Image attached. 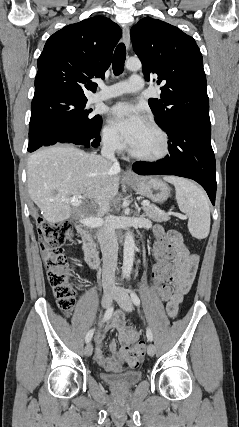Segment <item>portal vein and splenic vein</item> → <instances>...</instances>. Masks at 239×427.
Wrapping results in <instances>:
<instances>
[{
    "label": "portal vein and splenic vein",
    "instance_id": "18ae733b",
    "mask_svg": "<svg viewBox=\"0 0 239 427\" xmlns=\"http://www.w3.org/2000/svg\"><path fill=\"white\" fill-rule=\"evenodd\" d=\"M81 198H82L81 196L78 197V198L77 197H72L71 200H70V202L73 205L78 204V203H80L79 199H81ZM149 204H150V202L146 201V200L142 201V203H141V205L143 207L148 206ZM159 211L161 212V210H159ZM103 223H104V220L102 218H99V217H96V218H87V219H85L83 221V224H85L87 226H90V227H99V226H102Z\"/></svg>",
    "mask_w": 239,
    "mask_h": 427
}]
</instances>
